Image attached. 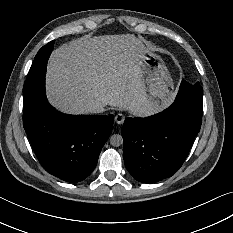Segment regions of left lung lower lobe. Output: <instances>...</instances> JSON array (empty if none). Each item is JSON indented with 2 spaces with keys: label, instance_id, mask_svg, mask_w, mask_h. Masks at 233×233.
Masks as SVG:
<instances>
[{
  "label": "left lung lower lobe",
  "instance_id": "left-lung-lower-lobe-1",
  "mask_svg": "<svg viewBox=\"0 0 233 233\" xmlns=\"http://www.w3.org/2000/svg\"><path fill=\"white\" fill-rule=\"evenodd\" d=\"M203 91L182 81L174 103L147 118H127L122 127L124 163L139 182L155 183L174 175L200 130Z\"/></svg>",
  "mask_w": 233,
  "mask_h": 233
}]
</instances>
